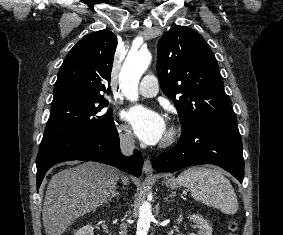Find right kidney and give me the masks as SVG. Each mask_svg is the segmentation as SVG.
<instances>
[{
  "label": "right kidney",
  "mask_w": 283,
  "mask_h": 235,
  "mask_svg": "<svg viewBox=\"0 0 283 235\" xmlns=\"http://www.w3.org/2000/svg\"><path fill=\"white\" fill-rule=\"evenodd\" d=\"M99 224L102 225V228L105 232H107L108 227L106 224H104L103 222H99ZM93 227L91 225H86L83 226L82 228H80L75 235H93Z\"/></svg>",
  "instance_id": "obj_1"
}]
</instances>
